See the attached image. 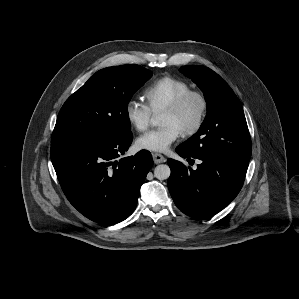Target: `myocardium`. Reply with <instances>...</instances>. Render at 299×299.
Listing matches in <instances>:
<instances>
[{
    "label": "myocardium",
    "instance_id": "myocardium-1",
    "mask_svg": "<svg viewBox=\"0 0 299 299\" xmlns=\"http://www.w3.org/2000/svg\"><path fill=\"white\" fill-rule=\"evenodd\" d=\"M192 99L198 100L199 112L194 122L188 126H185L181 130V132L186 136L194 135L195 133H197L201 129L206 119L208 113V98L206 94L201 90L190 89L189 91L180 95L167 108L163 110V113L179 114L185 108L187 103Z\"/></svg>",
    "mask_w": 299,
    "mask_h": 299
}]
</instances>
